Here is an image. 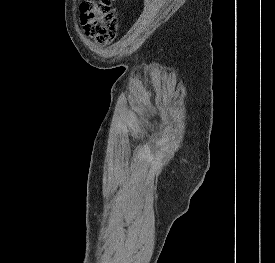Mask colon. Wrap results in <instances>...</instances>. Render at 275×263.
Returning a JSON list of instances; mask_svg holds the SVG:
<instances>
[{
	"mask_svg": "<svg viewBox=\"0 0 275 263\" xmlns=\"http://www.w3.org/2000/svg\"><path fill=\"white\" fill-rule=\"evenodd\" d=\"M80 13L87 36L98 43L115 38L118 21L113 11V0H85L80 6Z\"/></svg>",
	"mask_w": 275,
	"mask_h": 263,
	"instance_id": "5ec220e1",
	"label": "colon"
}]
</instances>
